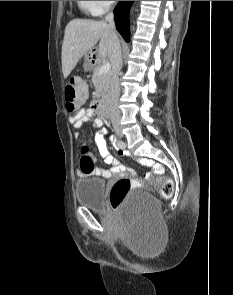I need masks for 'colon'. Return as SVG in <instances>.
I'll return each mask as SVG.
<instances>
[{
    "label": "colon",
    "instance_id": "1",
    "mask_svg": "<svg viewBox=\"0 0 233 295\" xmlns=\"http://www.w3.org/2000/svg\"><path fill=\"white\" fill-rule=\"evenodd\" d=\"M87 97V88L85 83L80 78H71L65 87V101L66 109L70 114H75L79 106L85 101ZM81 172L84 174H92L94 169V162L91 158L83 153L80 162ZM140 182L137 180H130L128 178H121L113 185L110 195L109 203L113 208H118L130 194V192L138 187ZM173 184L169 179L161 181L160 194L164 198L172 195Z\"/></svg>",
    "mask_w": 233,
    "mask_h": 295
}]
</instances>
